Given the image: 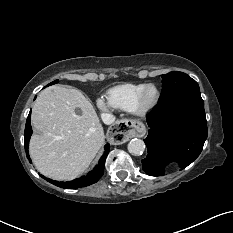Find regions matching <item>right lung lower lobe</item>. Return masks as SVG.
Returning <instances> with one entry per match:
<instances>
[{
	"label": "right lung lower lobe",
	"mask_w": 233,
	"mask_h": 233,
	"mask_svg": "<svg viewBox=\"0 0 233 233\" xmlns=\"http://www.w3.org/2000/svg\"><path fill=\"white\" fill-rule=\"evenodd\" d=\"M30 118H31V111L28 115L27 121H26V126H25V132H24V144H25V151H26V156L29 159L30 163V157H29V153H28V146H29V140L30 137L32 135V128H31V123H30ZM109 149H110V145L106 144L105 145V153L104 155L101 157L100 161H99V165H97L95 167V169L93 171H91L90 173H88L87 176H84L80 179H75L73 181H69V182H58L49 178H46L44 176H42L44 179H46L48 182L58 186V187H62V188H70V189H75V188H79V187H85L88 185H91L95 182H97L102 175L104 174V165H105V159L109 153Z\"/></svg>",
	"instance_id": "1"
}]
</instances>
